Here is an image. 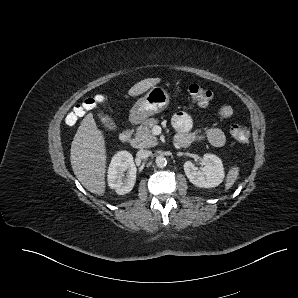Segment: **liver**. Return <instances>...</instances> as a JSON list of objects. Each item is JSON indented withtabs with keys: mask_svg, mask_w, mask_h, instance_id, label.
I'll use <instances>...</instances> for the list:
<instances>
[{
	"mask_svg": "<svg viewBox=\"0 0 298 298\" xmlns=\"http://www.w3.org/2000/svg\"><path fill=\"white\" fill-rule=\"evenodd\" d=\"M160 81L149 78L135 84L130 95H139ZM70 160L74 174L80 183L92 193L104 191V147L101 133L97 130L92 114L86 115L74 136Z\"/></svg>",
	"mask_w": 298,
	"mask_h": 298,
	"instance_id": "obj_1",
	"label": "liver"
}]
</instances>
